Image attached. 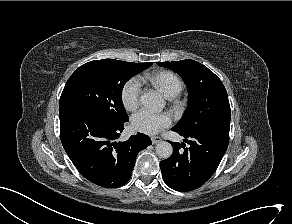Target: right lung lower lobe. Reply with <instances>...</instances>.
Masks as SVG:
<instances>
[{
	"label": "right lung lower lobe",
	"instance_id": "right-lung-lower-lobe-1",
	"mask_svg": "<svg viewBox=\"0 0 292 224\" xmlns=\"http://www.w3.org/2000/svg\"><path fill=\"white\" fill-rule=\"evenodd\" d=\"M62 145L76 169L90 182L116 188L130 179L139 151L151 145L142 133L117 142L126 118L109 122L81 107L59 109Z\"/></svg>",
	"mask_w": 292,
	"mask_h": 224
}]
</instances>
